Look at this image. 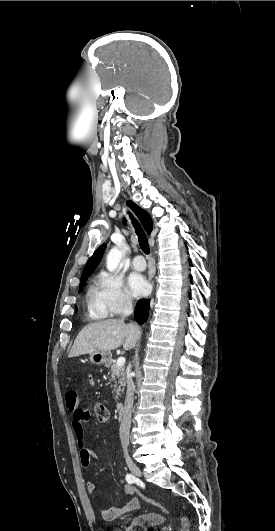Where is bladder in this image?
<instances>
[{
	"label": "bladder",
	"mask_w": 275,
	"mask_h": 531,
	"mask_svg": "<svg viewBox=\"0 0 275 531\" xmlns=\"http://www.w3.org/2000/svg\"><path fill=\"white\" fill-rule=\"evenodd\" d=\"M134 525L130 531H141V528L160 527L164 522V517L159 512H149L148 515H136L133 517Z\"/></svg>",
	"instance_id": "31cf9c89"
}]
</instances>
